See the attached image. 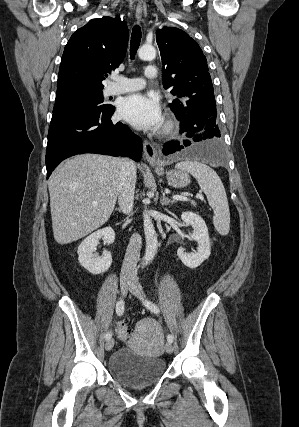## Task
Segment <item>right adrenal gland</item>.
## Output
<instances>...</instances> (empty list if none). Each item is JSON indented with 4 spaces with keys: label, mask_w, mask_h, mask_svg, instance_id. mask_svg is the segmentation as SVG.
<instances>
[{
    "label": "right adrenal gland",
    "mask_w": 299,
    "mask_h": 427,
    "mask_svg": "<svg viewBox=\"0 0 299 427\" xmlns=\"http://www.w3.org/2000/svg\"><path fill=\"white\" fill-rule=\"evenodd\" d=\"M115 210H116V211H118V212H121V209H120V208H115Z\"/></svg>",
    "instance_id": "2a0ac1e0"
}]
</instances>
